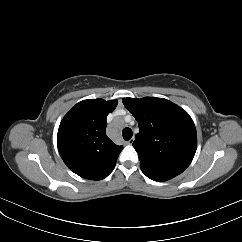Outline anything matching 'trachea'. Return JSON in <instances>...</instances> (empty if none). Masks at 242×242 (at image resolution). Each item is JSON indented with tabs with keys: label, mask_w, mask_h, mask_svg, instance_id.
<instances>
[{
	"label": "trachea",
	"mask_w": 242,
	"mask_h": 242,
	"mask_svg": "<svg viewBox=\"0 0 242 242\" xmlns=\"http://www.w3.org/2000/svg\"><path fill=\"white\" fill-rule=\"evenodd\" d=\"M122 135L125 141H128L132 137V130L130 128H124L122 131Z\"/></svg>",
	"instance_id": "obj_1"
}]
</instances>
